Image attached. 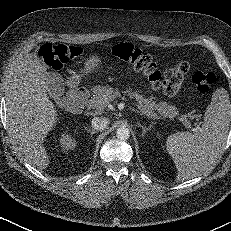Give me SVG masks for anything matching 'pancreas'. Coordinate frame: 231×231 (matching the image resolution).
Wrapping results in <instances>:
<instances>
[{
	"mask_svg": "<svg viewBox=\"0 0 231 231\" xmlns=\"http://www.w3.org/2000/svg\"><path fill=\"white\" fill-rule=\"evenodd\" d=\"M123 95V96H122ZM127 95L130 99H135L138 108L141 112L154 119H174L178 116L177 108L170 105L167 102L155 101V97L146 98L140 95L137 91H132L131 89H126L120 91L119 88H112L109 85L106 86H94L92 89V95L87 99V106L92 107L93 105H98L101 109L105 108L108 103L112 102L117 98H125ZM157 111L158 113H155ZM181 117L193 118L195 117L192 113L184 114Z\"/></svg>",
	"mask_w": 231,
	"mask_h": 231,
	"instance_id": "1",
	"label": "pancreas"
}]
</instances>
